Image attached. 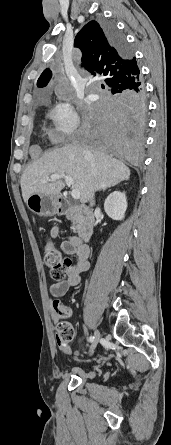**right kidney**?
<instances>
[{"label":"right kidney","instance_id":"ca27d5eb","mask_svg":"<svg viewBox=\"0 0 171 445\" xmlns=\"http://www.w3.org/2000/svg\"><path fill=\"white\" fill-rule=\"evenodd\" d=\"M127 209V200L124 192H112L104 202V210L114 220H122Z\"/></svg>","mask_w":171,"mask_h":445}]
</instances>
